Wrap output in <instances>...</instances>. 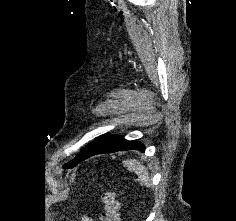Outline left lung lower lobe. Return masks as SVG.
Listing matches in <instances>:
<instances>
[{
  "instance_id": "obj_1",
  "label": "left lung lower lobe",
  "mask_w": 236,
  "mask_h": 221,
  "mask_svg": "<svg viewBox=\"0 0 236 221\" xmlns=\"http://www.w3.org/2000/svg\"><path fill=\"white\" fill-rule=\"evenodd\" d=\"M132 149L143 151L145 149V146L138 141H127L121 136L107 135L93 141L84 149H82L81 152L77 155L76 163L78 164L79 162L96 154H105Z\"/></svg>"
}]
</instances>
